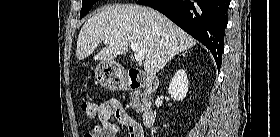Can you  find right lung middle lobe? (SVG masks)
Returning a JSON list of instances; mask_svg holds the SVG:
<instances>
[{"mask_svg":"<svg viewBox=\"0 0 280 137\" xmlns=\"http://www.w3.org/2000/svg\"><path fill=\"white\" fill-rule=\"evenodd\" d=\"M97 1L98 0H82V9H81V12H80V19L89 12V10L92 8V6Z\"/></svg>","mask_w":280,"mask_h":137,"instance_id":"obj_1","label":"right lung middle lobe"}]
</instances>
